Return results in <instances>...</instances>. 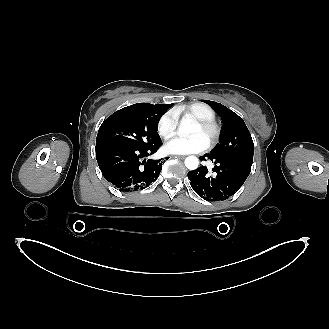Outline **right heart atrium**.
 Returning a JSON list of instances; mask_svg holds the SVG:
<instances>
[{
	"instance_id": "right-heart-atrium-1",
	"label": "right heart atrium",
	"mask_w": 329,
	"mask_h": 329,
	"mask_svg": "<svg viewBox=\"0 0 329 329\" xmlns=\"http://www.w3.org/2000/svg\"><path fill=\"white\" fill-rule=\"evenodd\" d=\"M178 117L170 110L160 116L157 122V132L163 139L172 138L177 131Z\"/></svg>"
}]
</instances>
